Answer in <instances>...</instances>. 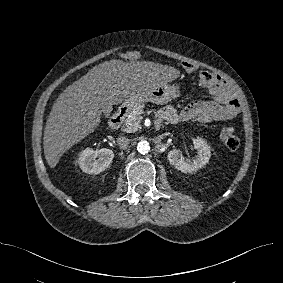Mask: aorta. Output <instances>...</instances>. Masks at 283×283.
Here are the masks:
<instances>
[{
	"label": "aorta",
	"mask_w": 283,
	"mask_h": 283,
	"mask_svg": "<svg viewBox=\"0 0 283 283\" xmlns=\"http://www.w3.org/2000/svg\"><path fill=\"white\" fill-rule=\"evenodd\" d=\"M137 150L141 154H146L150 150V145L146 140H141L137 144Z\"/></svg>",
	"instance_id": "aorta-1"
}]
</instances>
